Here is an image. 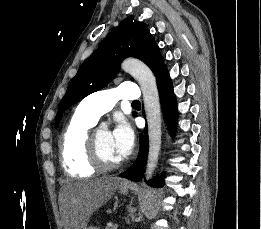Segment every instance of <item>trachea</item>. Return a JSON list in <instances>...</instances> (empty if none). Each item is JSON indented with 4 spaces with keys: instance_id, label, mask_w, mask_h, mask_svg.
I'll use <instances>...</instances> for the list:
<instances>
[{
    "instance_id": "1",
    "label": "trachea",
    "mask_w": 261,
    "mask_h": 229,
    "mask_svg": "<svg viewBox=\"0 0 261 229\" xmlns=\"http://www.w3.org/2000/svg\"><path fill=\"white\" fill-rule=\"evenodd\" d=\"M132 104H140L139 100H134Z\"/></svg>"
}]
</instances>
